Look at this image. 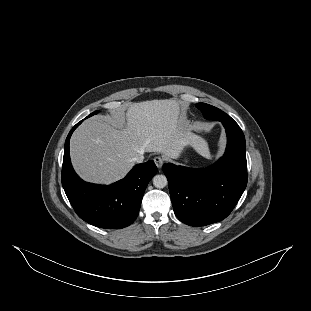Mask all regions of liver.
<instances>
[{"instance_id": "6515ba94", "label": "liver", "mask_w": 311, "mask_h": 311, "mask_svg": "<svg viewBox=\"0 0 311 311\" xmlns=\"http://www.w3.org/2000/svg\"><path fill=\"white\" fill-rule=\"evenodd\" d=\"M179 114L176 100H151L131 104L112 125L98 117L84 121L70 141L75 171L85 181L111 184L126 176L138 154L157 152L177 159L188 145L197 152L208 148L186 121H179Z\"/></svg>"}]
</instances>
